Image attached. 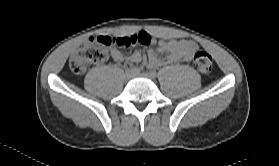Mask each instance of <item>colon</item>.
I'll list each match as a JSON object with an SVG mask.
<instances>
[{
    "instance_id": "obj_1",
    "label": "colon",
    "mask_w": 279,
    "mask_h": 166,
    "mask_svg": "<svg viewBox=\"0 0 279 166\" xmlns=\"http://www.w3.org/2000/svg\"><path fill=\"white\" fill-rule=\"evenodd\" d=\"M147 44L148 38L144 35L134 37H98L91 38L75 52L70 60L69 67L75 74L84 73L91 65L104 62L108 52L113 47L126 48L133 44ZM197 69L208 74L212 70L213 59L206 51H197L193 57Z\"/></svg>"
}]
</instances>
